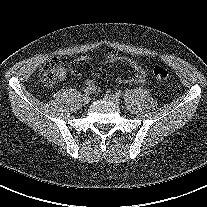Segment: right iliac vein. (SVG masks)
I'll return each mask as SVG.
<instances>
[{"label": "right iliac vein", "mask_w": 207, "mask_h": 207, "mask_svg": "<svg viewBox=\"0 0 207 207\" xmlns=\"http://www.w3.org/2000/svg\"><path fill=\"white\" fill-rule=\"evenodd\" d=\"M82 102L84 104H88L90 102V97L88 95L84 94L82 97Z\"/></svg>", "instance_id": "obj_1"}]
</instances>
